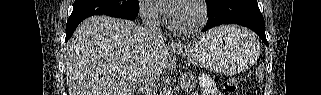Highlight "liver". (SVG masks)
Returning a JSON list of instances; mask_svg holds the SVG:
<instances>
[{"instance_id":"liver-1","label":"liver","mask_w":321,"mask_h":95,"mask_svg":"<svg viewBox=\"0 0 321 95\" xmlns=\"http://www.w3.org/2000/svg\"><path fill=\"white\" fill-rule=\"evenodd\" d=\"M64 54L69 95H132L143 73L160 76L169 50L132 21L93 16L77 27Z\"/></svg>"}]
</instances>
